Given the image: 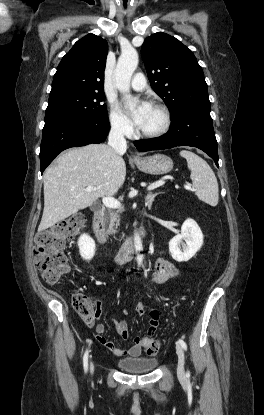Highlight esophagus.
I'll return each instance as SVG.
<instances>
[{"mask_svg":"<svg viewBox=\"0 0 264 415\" xmlns=\"http://www.w3.org/2000/svg\"><path fill=\"white\" fill-rule=\"evenodd\" d=\"M131 160L132 161H138L139 160V157L137 155H132L131 156Z\"/></svg>","mask_w":264,"mask_h":415,"instance_id":"esophagus-1","label":"esophagus"}]
</instances>
